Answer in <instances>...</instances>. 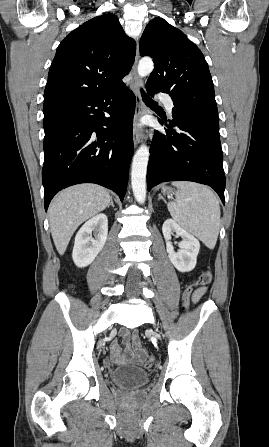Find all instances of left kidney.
<instances>
[{"instance_id":"obj_1","label":"left kidney","mask_w":269,"mask_h":447,"mask_svg":"<svg viewBox=\"0 0 269 447\" xmlns=\"http://www.w3.org/2000/svg\"><path fill=\"white\" fill-rule=\"evenodd\" d=\"M162 231L166 239L168 257L176 269H179V271H191V269H194L200 249L198 239L191 233H188V231H185V229H182L174 220H166L162 225ZM173 231H176L177 235L182 237L179 247H183V249H179V251H175L170 241Z\"/></svg>"}]
</instances>
